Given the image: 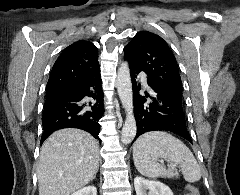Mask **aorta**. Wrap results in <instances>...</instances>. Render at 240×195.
Instances as JSON below:
<instances>
[{
  "instance_id": "aorta-1",
  "label": "aorta",
  "mask_w": 240,
  "mask_h": 195,
  "mask_svg": "<svg viewBox=\"0 0 240 195\" xmlns=\"http://www.w3.org/2000/svg\"><path fill=\"white\" fill-rule=\"evenodd\" d=\"M117 90L126 111V119L121 131V141L122 143H131L136 135L137 127L133 113V92L127 62H123L117 72Z\"/></svg>"
}]
</instances>
